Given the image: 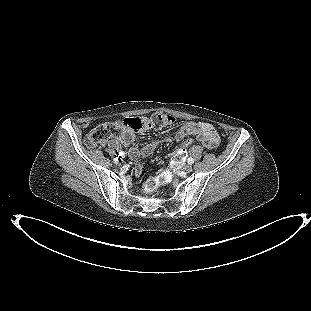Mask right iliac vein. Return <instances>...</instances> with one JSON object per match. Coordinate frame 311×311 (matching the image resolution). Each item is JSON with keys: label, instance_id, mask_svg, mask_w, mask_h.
<instances>
[{"label": "right iliac vein", "instance_id": "right-iliac-vein-1", "mask_svg": "<svg viewBox=\"0 0 311 311\" xmlns=\"http://www.w3.org/2000/svg\"><path fill=\"white\" fill-rule=\"evenodd\" d=\"M121 161H122V159H121ZM121 161H117V164H118V165H121Z\"/></svg>", "mask_w": 311, "mask_h": 311}]
</instances>
